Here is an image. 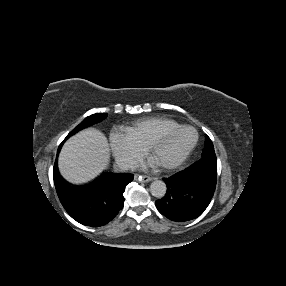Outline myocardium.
<instances>
[{
	"mask_svg": "<svg viewBox=\"0 0 286 286\" xmlns=\"http://www.w3.org/2000/svg\"><path fill=\"white\" fill-rule=\"evenodd\" d=\"M184 129H192L195 131L196 134V139L194 144L192 145V147L180 158L171 161V162H166V163H160V167L164 170H173L176 168L181 167L182 165H184L194 154L197 146H198V142H199V133L197 131V129L191 125H181L173 130H170L156 138H154L153 140H151L147 146H146V151L148 152V154L152 155L153 152L158 149L159 147H161L162 145H164L165 143H167L171 138H173L175 135H177L179 132H181Z\"/></svg>",
	"mask_w": 286,
	"mask_h": 286,
	"instance_id": "obj_1",
	"label": "myocardium"
}]
</instances>
